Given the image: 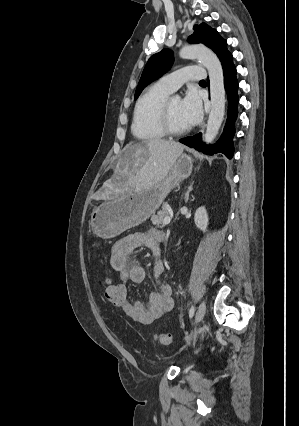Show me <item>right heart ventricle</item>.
<instances>
[{
    "label": "right heart ventricle",
    "mask_w": 299,
    "mask_h": 426,
    "mask_svg": "<svg viewBox=\"0 0 299 426\" xmlns=\"http://www.w3.org/2000/svg\"><path fill=\"white\" fill-rule=\"evenodd\" d=\"M170 93L157 82L148 87L138 99L131 126L132 133L138 140L156 141L165 136L160 127L159 113Z\"/></svg>",
    "instance_id": "1"
}]
</instances>
